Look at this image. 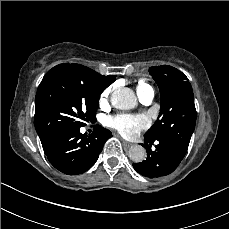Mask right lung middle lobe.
<instances>
[{
  "label": "right lung middle lobe",
  "instance_id": "right-lung-middle-lobe-1",
  "mask_svg": "<svg viewBox=\"0 0 229 229\" xmlns=\"http://www.w3.org/2000/svg\"><path fill=\"white\" fill-rule=\"evenodd\" d=\"M100 93L92 91L75 73L49 70L42 79L35 98V128L42 146L58 133L95 121Z\"/></svg>",
  "mask_w": 229,
  "mask_h": 229
}]
</instances>
